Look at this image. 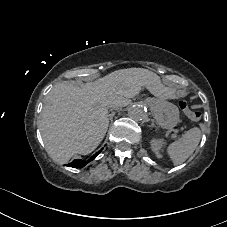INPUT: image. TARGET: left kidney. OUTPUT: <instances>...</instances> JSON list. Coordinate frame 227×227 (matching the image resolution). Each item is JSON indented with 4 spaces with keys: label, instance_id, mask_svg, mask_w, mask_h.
<instances>
[{
    "label": "left kidney",
    "instance_id": "left-kidney-1",
    "mask_svg": "<svg viewBox=\"0 0 227 227\" xmlns=\"http://www.w3.org/2000/svg\"><path fill=\"white\" fill-rule=\"evenodd\" d=\"M151 149L156 154L157 158H161L162 155L160 154V150L162 147L166 145L165 139H152L151 142Z\"/></svg>",
    "mask_w": 227,
    "mask_h": 227
}]
</instances>
